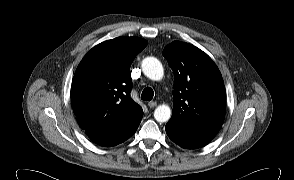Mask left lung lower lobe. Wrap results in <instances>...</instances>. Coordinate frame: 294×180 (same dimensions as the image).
Returning a JSON list of instances; mask_svg holds the SVG:
<instances>
[{
    "instance_id": "left-lung-lower-lobe-1",
    "label": "left lung lower lobe",
    "mask_w": 294,
    "mask_h": 180,
    "mask_svg": "<svg viewBox=\"0 0 294 180\" xmlns=\"http://www.w3.org/2000/svg\"><path fill=\"white\" fill-rule=\"evenodd\" d=\"M165 130L168 137L179 146L196 149L207 145L218 133L220 127L190 128L170 119Z\"/></svg>"
}]
</instances>
